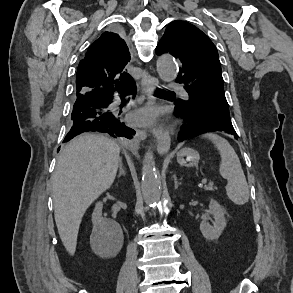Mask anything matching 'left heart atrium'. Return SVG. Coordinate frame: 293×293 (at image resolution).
<instances>
[{"instance_id":"1","label":"left heart atrium","mask_w":293,"mask_h":293,"mask_svg":"<svg viewBox=\"0 0 293 293\" xmlns=\"http://www.w3.org/2000/svg\"><path fill=\"white\" fill-rule=\"evenodd\" d=\"M159 114L160 110L150 105L134 113L131 120L135 124H152L158 119Z\"/></svg>"}]
</instances>
